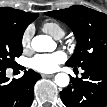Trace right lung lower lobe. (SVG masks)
<instances>
[{"instance_id": "right-lung-lower-lobe-1", "label": "right lung lower lobe", "mask_w": 107, "mask_h": 107, "mask_svg": "<svg viewBox=\"0 0 107 107\" xmlns=\"http://www.w3.org/2000/svg\"><path fill=\"white\" fill-rule=\"evenodd\" d=\"M5 68H0V107H30L33 101V86L41 78L33 70L19 79L9 81Z\"/></svg>"}]
</instances>
